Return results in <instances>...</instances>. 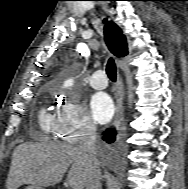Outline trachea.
<instances>
[{"label": "trachea", "instance_id": "trachea-1", "mask_svg": "<svg viewBox=\"0 0 188 189\" xmlns=\"http://www.w3.org/2000/svg\"><path fill=\"white\" fill-rule=\"evenodd\" d=\"M116 65H115V62L112 58H109L108 60V63H107V66H106V73L109 77V79L113 82L116 81Z\"/></svg>", "mask_w": 188, "mask_h": 189}]
</instances>
